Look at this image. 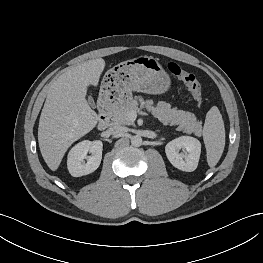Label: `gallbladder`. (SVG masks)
<instances>
[{
	"label": "gallbladder",
	"mask_w": 263,
	"mask_h": 263,
	"mask_svg": "<svg viewBox=\"0 0 263 263\" xmlns=\"http://www.w3.org/2000/svg\"><path fill=\"white\" fill-rule=\"evenodd\" d=\"M88 101H89V104H90V105H94V100H93L92 97H89V98H88Z\"/></svg>",
	"instance_id": "1"
}]
</instances>
